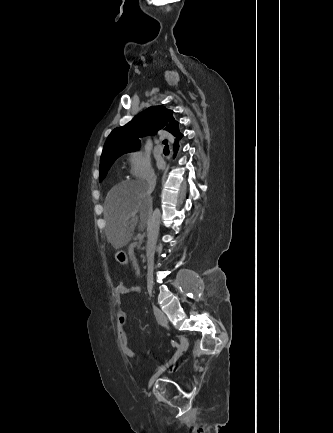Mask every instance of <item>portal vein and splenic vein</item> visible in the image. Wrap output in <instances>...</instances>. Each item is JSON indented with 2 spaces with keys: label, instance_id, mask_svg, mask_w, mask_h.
Listing matches in <instances>:
<instances>
[{
  "label": "portal vein and splenic vein",
  "instance_id": "obj_1",
  "mask_svg": "<svg viewBox=\"0 0 333 433\" xmlns=\"http://www.w3.org/2000/svg\"><path fill=\"white\" fill-rule=\"evenodd\" d=\"M133 216H134V214H130V215L128 216V218L133 217ZM137 239H138V240H141V239H142V236H141L140 234H138Z\"/></svg>",
  "mask_w": 333,
  "mask_h": 433
}]
</instances>
